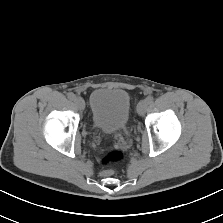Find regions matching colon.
<instances>
[{"mask_svg": "<svg viewBox=\"0 0 223 223\" xmlns=\"http://www.w3.org/2000/svg\"><path fill=\"white\" fill-rule=\"evenodd\" d=\"M124 159V153L120 150H111L105 153L101 158L102 172L105 175H111L115 166L120 164Z\"/></svg>", "mask_w": 223, "mask_h": 223, "instance_id": "colon-1", "label": "colon"}]
</instances>
